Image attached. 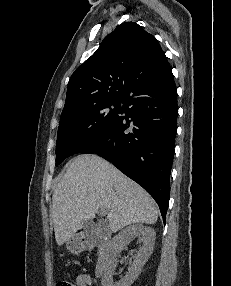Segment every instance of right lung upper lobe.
I'll use <instances>...</instances> for the list:
<instances>
[{"mask_svg": "<svg viewBox=\"0 0 231 286\" xmlns=\"http://www.w3.org/2000/svg\"><path fill=\"white\" fill-rule=\"evenodd\" d=\"M170 72L156 38L135 22H124L72 74L61 117L103 102L123 101L137 84Z\"/></svg>", "mask_w": 231, "mask_h": 286, "instance_id": "obj_1", "label": "right lung upper lobe"}]
</instances>
